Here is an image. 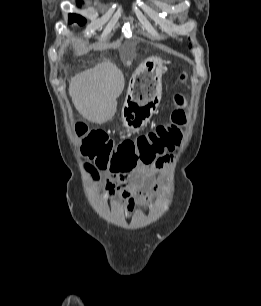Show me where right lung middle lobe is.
<instances>
[{
  "instance_id": "obj_1",
  "label": "right lung middle lobe",
  "mask_w": 261,
  "mask_h": 306,
  "mask_svg": "<svg viewBox=\"0 0 261 306\" xmlns=\"http://www.w3.org/2000/svg\"><path fill=\"white\" fill-rule=\"evenodd\" d=\"M80 4V3H79ZM77 22L78 24L82 25L86 22V19L77 14H70L69 15V23Z\"/></svg>"
}]
</instances>
